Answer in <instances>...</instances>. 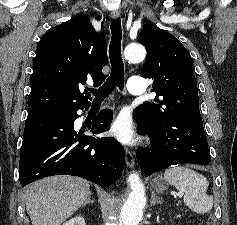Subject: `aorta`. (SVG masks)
<instances>
[{"label": "aorta", "mask_w": 237, "mask_h": 225, "mask_svg": "<svg viewBox=\"0 0 237 225\" xmlns=\"http://www.w3.org/2000/svg\"><path fill=\"white\" fill-rule=\"evenodd\" d=\"M124 56L129 63H139L145 59L146 50L140 44H130L125 48ZM127 181L131 192L121 209L120 219L123 225H138L146 204L145 187L137 173H131Z\"/></svg>", "instance_id": "aorta-1"}]
</instances>
